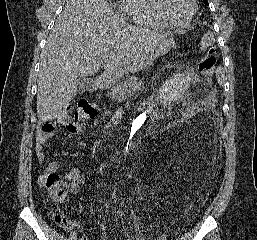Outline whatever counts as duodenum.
<instances>
[{"mask_svg":"<svg viewBox=\"0 0 257 240\" xmlns=\"http://www.w3.org/2000/svg\"><path fill=\"white\" fill-rule=\"evenodd\" d=\"M98 82L99 81L97 79L93 80L91 85H90V89L91 90H95L97 88V86H98Z\"/></svg>","mask_w":257,"mask_h":240,"instance_id":"obj_1","label":"duodenum"}]
</instances>
